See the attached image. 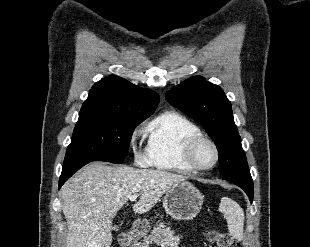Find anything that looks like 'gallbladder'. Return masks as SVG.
Listing matches in <instances>:
<instances>
[{"instance_id": "gallbladder-1", "label": "gallbladder", "mask_w": 310, "mask_h": 247, "mask_svg": "<svg viewBox=\"0 0 310 247\" xmlns=\"http://www.w3.org/2000/svg\"><path fill=\"white\" fill-rule=\"evenodd\" d=\"M113 229H114V230H117V229H118V227H117V226H114V227H113Z\"/></svg>"}]
</instances>
